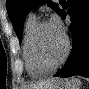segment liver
Listing matches in <instances>:
<instances>
[{
    "label": "liver",
    "instance_id": "1",
    "mask_svg": "<svg viewBox=\"0 0 89 89\" xmlns=\"http://www.w3.org/2000/svg\"><path fill=\"white\" fill-rule=\"evenodd\" d=\"M57 81H60L59 78H50L43 80L34 84H31L28 89H50Z\"/></svg>",
    "mask_w": 89,
    "mask_h": 89
}]
</instances>
